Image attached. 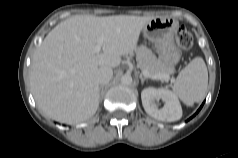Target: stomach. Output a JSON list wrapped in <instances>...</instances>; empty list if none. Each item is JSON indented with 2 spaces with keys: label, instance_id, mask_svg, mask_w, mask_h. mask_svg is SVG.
<instances>
[{
  "label": "stomach",
  "instance_id": "stomach-1",
  "mask_svg": "<svg viewBox=\"0 0 238 158\" xmlns=\"http://www.w3.org/2000/svg\"><path fill=\"white\" fill-rule=\"evenodd\" d=\"M176 29L177 23L165 18H154L143 28L144 36L156 44L160 60L169 68L174 67L181 57L174 41Z\"/></svg>",
  "mask_w": 238,
  "mask_h": 158
}]
</instances>
